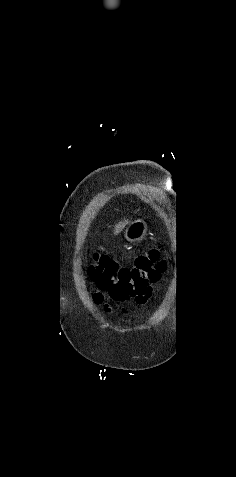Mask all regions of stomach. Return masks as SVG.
I'll return each instance as SVG.
<instances>
[{"mask_svg":"<svg viewBox=\"0 0 236 477\" xmlns=\"http://www.w3.org/2000/svg\"><path fill=\"white\" fill-rule=\"evenodd\" d=\"M147 225L142 220L132 222L125 230L124 237L129 242H139L145 238Z\"/></svg>","mask_w":236,"mask_h":477,"instance_id":"stomach-1","label":"stomach"}]
</instances>
